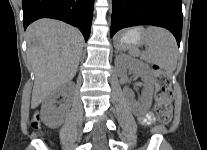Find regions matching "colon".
<instances>
[{
  "label": "colon",
  "instance_id": "5ec220e1",
  "mask_svg": "<svg viewBox=\"0 0 207 150\" xmlns=\"http://www.w3.org/2000/svg\"><path fill=\"white\" fill-rule=\"evenodd\" d=\"M156 75L155 83V112L157 119L162 124H169L172 119V88L170 74L159 66H154ZM34 129L39 128L38 116L31 121Z\"/></svg>",
  "mask_w": 207,
  "mask_h": 150
}]
</instances>
